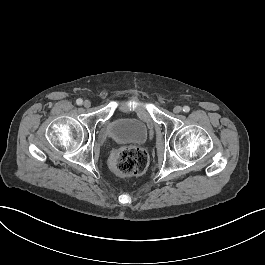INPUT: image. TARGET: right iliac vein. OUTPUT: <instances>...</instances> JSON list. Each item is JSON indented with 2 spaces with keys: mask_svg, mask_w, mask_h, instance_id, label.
<instances>
[{
  "mask_svg": "<svg viewBox=\"0 0 265 265\" xmlns=\"http://www.w3.org/2000/svg\"><path fill=\"white\" fill-rule=\"evenodd\" d=\"M83 105H84V107L88 108L91 106V102L89 100H85Z\"/></svg>",
  "mask_w": 265,
  "mask_h": 265,
  "instance_id": "63e3f726",
  "label": "right iliac vein"
}]
</instances>
